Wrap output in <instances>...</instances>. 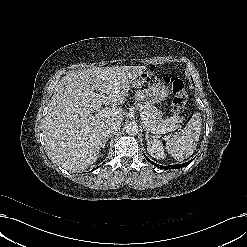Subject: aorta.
<instances>
[{"label": "aorta", "mask_w": 247, "mask_h": 247, "mask_svg": "<svg viewBox=\"0 0 247 247\" xmlns=\"http://www.w3.org/2000/svg\"><path fill=\"white\" fill-rule=\"evenodd\" d=\"M126 132L129 135H136L138 133V125L135 122H130L127 126H126Z\"/></svg>", "instance_id": "aorta-1"}]
</instances>
